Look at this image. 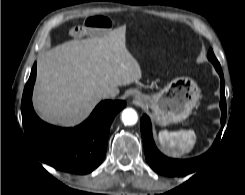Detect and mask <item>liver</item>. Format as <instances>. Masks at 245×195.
<instances>
[{"label":"liver","mask_w":245,"mask_h":195,"mask_svg":"<svg viewBox=\"0 0 245 195\" xmlns=\"http://www.w3.org/2000/svg\"><path fill=\"white\" fill-rule=\"evenodd\" d=\"M142 71L126 48V26L102 37L71 40L37 61L34 107L45 121L74 126L102 99L101 93L139 81Z\"/></svg>","instance_id":"obj_1"}]
</instances>
